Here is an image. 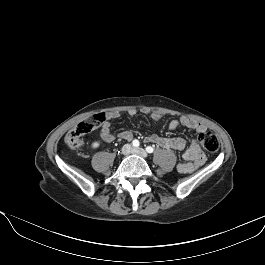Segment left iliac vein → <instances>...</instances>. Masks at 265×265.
Listing matches in <instances>:
<instances>
[{"label": "left iliac vein", "instance_id": "4c4485c4", "mask_svg": "<svg viewBox=\"0 0 265 265\" xmlns=\"http://www.w3.org/2000/svg\"><path fill=\"white\" fill-rule=\"evenodd\" d=\"M132 153L136 154V155H139V156H141L143 158H146L148 156L147 152L144 149H142V148H134L132 150Z\"/></svg>", "mask_w": 265, "mask_h": 265}]
</instances>
